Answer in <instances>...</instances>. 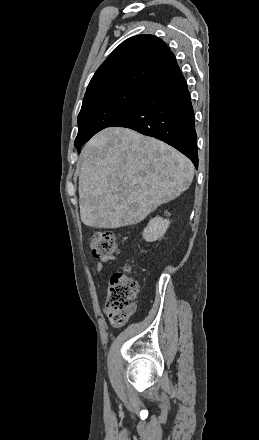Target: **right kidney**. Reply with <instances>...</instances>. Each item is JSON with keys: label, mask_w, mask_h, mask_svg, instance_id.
Instances as JSON below:
<instances>
[{"label": "right kidney", "mask_w": 259, "mask_h": 440, "mask_svg": "<svg viewBox=\"0 0 259 440\" xmlns=\"http://www.w3.org/2000/svg\"><path fill=\"white\" fill-rule=\"evenodd\" d=\"M167 215L170 214L167 213ZM169 224V219H163L161 217H155L151 219L143 231V238L147 242H154L159 240L166 233Z\"/></svg>", "instance_id": "obj_1"}]
</instances>
